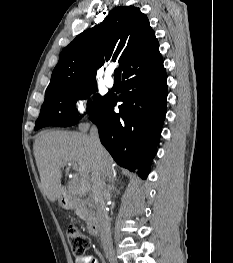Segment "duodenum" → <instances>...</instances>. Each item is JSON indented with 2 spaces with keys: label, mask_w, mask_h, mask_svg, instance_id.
Masks as SVG:
<instances>
[{
  "label": "duodenum",
  "mask_w": 233,
  "mask_h": 263,
  "mask_svg": "<svg viewBox=\"0 0 233 263\" xmlns=\"http://www.w3.org/2000/svg\"><path fill=\"white\" fill-rule=\"evenodd\" d=\"M61 200L64 202L65 206L70 209L77 207L78 203L75 199L70 197L66 192L61 195ZM89 230L92 236L98 237L100 232V225L95 218H91L89 221Z\"/></svg>",
  "instance_id": "1"
}]
</instances>
